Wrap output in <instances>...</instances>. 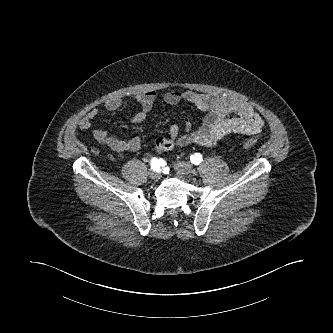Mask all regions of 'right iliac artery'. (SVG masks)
<instances>
[{
	"label": "right iliac artery",
	"instance_id": "82829eb1",
	"mask_svg": "<svg viewBox=\"0 0 333 333\" xmlns=\"http://www.w3.org/2000/svg\"><path fill=\"white\" fill-rule=\"evenodd\" d=\"M162 163H164L162 159H157L155 157L150 160L151 168L154 171H160V165L162 166Z\"/></svg>",
	"mask_w": 333,
	"mask_h": 333
}]
</instances>
